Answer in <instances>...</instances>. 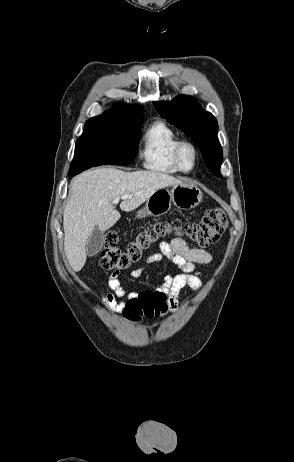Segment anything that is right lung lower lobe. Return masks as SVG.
I'll return each instance as SVG.
<instances>
[{
	"instance_id": "1",
	"label": "right lung lower lobe",
	"mask_w": 294,
	"mask_h": 462,
	"mask_svg": "<svg viewBox=\"0 0 294 462\" xmlns=\"http://www.w3.org/2000/svg\"><path fill=\"white\" fill-rule=\"evenodd\" d=\"M73 176H75V175H69V178H72Z\"/></svg>"
}]
</instances>
